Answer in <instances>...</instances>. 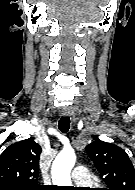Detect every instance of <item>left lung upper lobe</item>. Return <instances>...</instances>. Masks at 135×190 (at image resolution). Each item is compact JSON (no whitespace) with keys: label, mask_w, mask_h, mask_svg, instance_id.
Masks as SVG:
<instances>
[{"label":"left lung upper lobe","mask_w":135,"mask_h":190,"mask_svg":"<svg viewBox=\"0 0 135 190\" xmlns=\"http://www.w3.org/2000/svg\"><path fill=\"white\" fill-rule=\"evenodd\" d=\"M85 149L108 186L105 190H135V169L122 148L97 138Z\"/></svg>","instance_id":"obj_1"}]
</instances>
